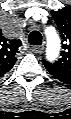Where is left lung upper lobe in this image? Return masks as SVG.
Listing matches in <instances>:
<instances>
[{"label": "left lung upper lobe", "instance_id": "left-lung-upper-lobe-1", "mask_svg": "<svg viewBox=\"0 0 71 119\" xmlns=\"http://www.w3.org/2000/svg\"><path fill=\"white\" fill-rule=\"evenodd\" d=\"M51 13L62 37L63 50L58 61L49 63L43 59V64L44 66L71 72V6H65L63 9Z\"/></svg>", "mask_w": 71, "mask_h": 119}]
</instances>
